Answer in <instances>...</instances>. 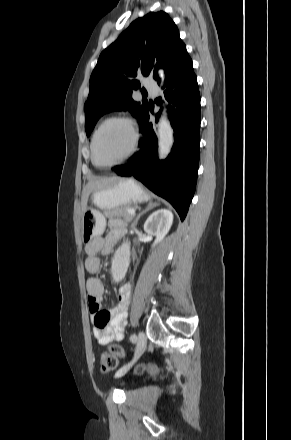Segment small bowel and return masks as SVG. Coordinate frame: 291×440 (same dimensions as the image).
Instances as JSON below:
<instances>
[{
    "label": "small bowel",
    "instance_id": "1",
    "mask_svg": "<svg viewBox=\"0 0 291 440\" xmlns=\"http://www.w3.org/2000/svg\"><path fill=\"white\" fill-rule=\"evenodd\" d=\"M126 227L119 221H113L110 231L106 236L97 237L86 246L85 267L89 272L96 273L100 269L99 255H106L111 252L113 247L125 236ZM86 290L90 301L89 311L93 317L94 337L101 346L107 345L112 340H121L123 336V326L128 316V307L131 301V284L125 282L118 288V304L111 310H102L100 301L104 293L102 282L95 277L86 281ZM104 317L109 318L107 325H102L100 320ZM151 371L160 369L158 364L148 366Z\"/></svg>",
    "mask_w": 291,
    "mask_h": 440
}]
</instances>
